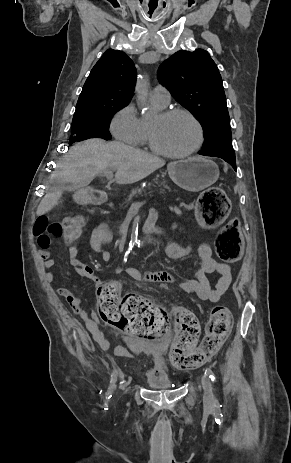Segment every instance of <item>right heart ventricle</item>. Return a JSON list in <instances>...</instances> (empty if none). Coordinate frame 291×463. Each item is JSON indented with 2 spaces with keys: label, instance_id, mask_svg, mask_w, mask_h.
Instances as JSON below:
<instances>
[{
  "label": "right heart ventricle",
  "instance_id": "right-heart-ventricle-1",
  "mask_svg": "<svg viewBox=\"0 0 291 463\" xmlns=\"http://www.w3.org/2000/svg\"><path fill=\"white\" fill-rule=\"evenodd\" d=\"M141 121H142V136H141L139 144H146V143H149L148 142L149 124L144 120H141Z\"/></svg>",
  "mask_w": 291,
  "mask_h": 463
}]
</instances>
